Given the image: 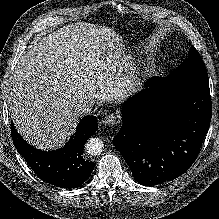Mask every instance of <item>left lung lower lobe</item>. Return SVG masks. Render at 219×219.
Wrapping results in <instances>:
<instances>
[{"instance_id":"left-lung-lower-lobe-1","label":"left lung lower lobe","mask_w":219,"mask_h":219,"mask_svg":"<svg viewBox=\"0 0 219 219\" xmlns=\"http://www.w3.org/2000/svg\"><path fill=\"white\" fill-rule=\"evenodd\" d=\"M148 88L123 104L122 127L113 139L142 185L181 176L194 163L208 132L209 79L152 78Z\"/></svg>"}]
</instances>
